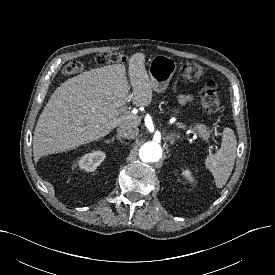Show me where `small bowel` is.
Here are the masks:
<instances>
[{
    "label": "small bowel",
    "instance_id": "c3829d8e",
    "mask_svg": "<svg viewBox=\"0 0 275 275\" xmlns=\"http://www.w3.org/2000/svg\"><path fill=\"white\" fill-rule=\"evenodd\" d=\"M190 100H191V96H182L180 99L182 103L188 102Z\"/></svg>",
    "mask_w": 275,
    "mask_h": 275
}]
</instances>
